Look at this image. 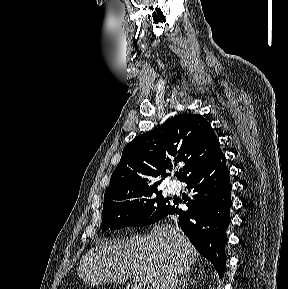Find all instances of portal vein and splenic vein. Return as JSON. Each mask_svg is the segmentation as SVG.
Returning a JSON list of instances; mask_svg holds the SVG:
<instances>
[{
	"label": "portal vein and splenic vein",
	"instance_id": "obj_1",
	"mask_svg": "<svg viewBox=\"0 0 288 289\" xmlns=\"http://www.w3.org/2000/svg\"><path fill=\"white\" fill-rule=\"evenodd\" d=\"M139 284H137V283H134V285L132 286V289H139Z\"/></svg>",
	"mask_w": 288,
	"mask_h": 289
}]
</instances>
